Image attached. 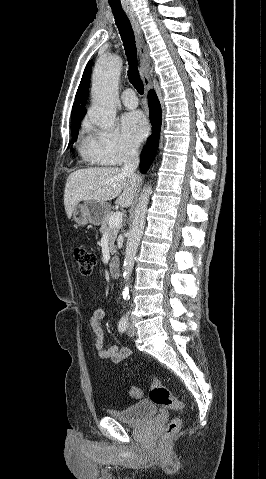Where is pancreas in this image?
I'll list each match as a JSON object with an SVG mask.
<instances>
[{
    "label": "pancreas",
    "instance_id": "pancreas-1",
    "mask_svg": "<svg viewBox=\"0 0 266 479\" xmlns=\"http://www.w3.org/2000/svg\"><path fill=\"white\" fill-rule=\"evenodd\" d=\"M113 215L112 212H110L104 219V221L102 222L101 224V228H100V232L102 234H108V237H109V246H110V253L111 254H114L115 253V240H116V237H117V234L121 228V226H117V227H110L109 226V220L111 218V216Z\"/></svg>",
    "mask_w": 266,
    "mask_h": 479
}]
</instances>
